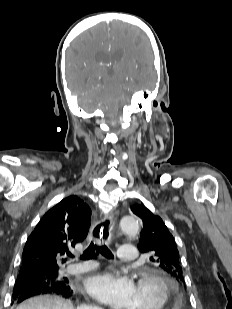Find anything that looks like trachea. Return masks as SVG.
I'll list each match as a JSON object with an SVG mask.
<instances>
[{
    "label": "trachea",
    "instance_id": "obj_1",
    "mask_svg": "<svg viewBox=\"0 0 232 309\" xmlns=\"http://www.w3.org/2000/svg\"><path fill=\"white\" fill-rule=\"evenodd\" d=\"M102 254L107 259H112L114 256L107 246H97L94 243H90L89 247L81 255L82 260H89L94 258L98 254ZM70 256H73L70 254Z\"/></svg>",
    "mask_w": 232,
    "mask_h": 309
}]
</instances>
